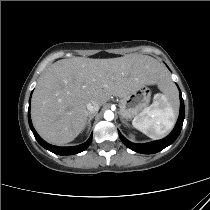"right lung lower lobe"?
I'll list each match as a JSON object with an SVG mask.
<instances>
[{
  "label": "right lung lower lobe",
  "mask_w": 210,
  "mask_h": 210,
  "mask_svg": "<svg viewBox=\"0 0 210 210\" xmlns=\"http://www.w3.org/2000/svg\"><path fill=\"white\" fill-rule=\"evenodd\" d=\"M29 104H30V102H29ZM29 110H30V106H29ZM28 121H29V126H30L36 140L38 141V143L45 149H47L55 154H58V155H73V154L80 153V152L84 151L89 146V144L91 143V140H92V135H91L90 138L84 144H81L79 146L57 147L54 145H50V144L46 143L44 140H42L40 138V136L36 133V131L32 125V122H31L30 112H28Z\"/></svg>",
  "instance_id": "obj_1"
}]
</instances>
